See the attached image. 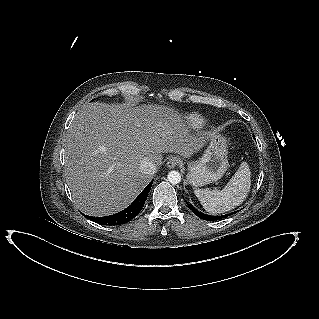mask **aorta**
I'll use <instances>...</instances> for the list:
<instances>
[{"label": "aorta", "mask_w": 319, "mask_h": 319, "mask_svg": "<svg viewBox=\"0 0 319 319\" xmlns=\"http://www.w3.org/2000/svg\"><path fill=\"white\" fill-rule=\"evenodd\" d=\"M167 178H168V181L171 183V184H178L180 183L181 181V175L178 171H170L167 175Z\"/></svg>", "instance_id": "aorta-1"}]
</instances>
